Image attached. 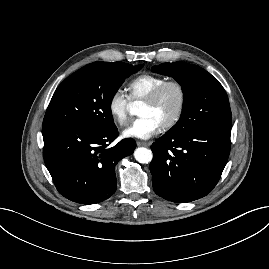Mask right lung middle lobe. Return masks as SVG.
<instances>
[{
	"mask_svg": "<svg viewBox=\"0 0 269 269\" xmlns=\"http://www.w3.org/2000/svg\"><path fill=\"white\" fill-rule=\"evenodd\" d=\"M141 68L123 62H94L79 69L54 92L43 129L62 124L96 131L115 127L110 110L112 99L124 79Z\"/></svg>",
	"mask_w": 269,
	"mask_h": 269,
	"instance_id": "right-lung-middle-lobe-1",
	"label": "right lung middle lobe"
}]
</instances>
